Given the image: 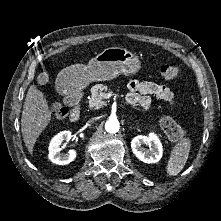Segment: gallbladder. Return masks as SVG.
I'll return each mask as SVG.
<instances>
[{
    "label": "gallbladder",
    "instance_id": "bac80fb5",
    "mask_svg": "<svg viewBox=\"0 0 221 221\" xmlns=\"http://www.w3.org/2000/svg\"><path fill=\"white\" fill-rule=\"evenodd\" d=\"M37 80H38V82H39L40 84H45L46 81H47V75H46V73H41V74L38 76Z\"/></svg>",
    "mask_w": 221,
    "mask_h": 221
}]
</instances>
